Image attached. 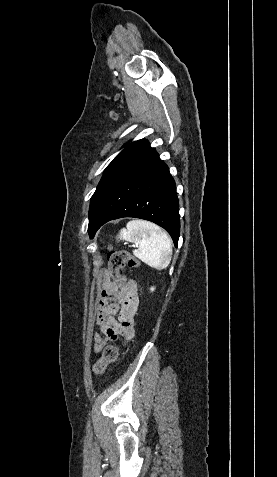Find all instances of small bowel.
<instances>
[{
    "instance_id": "c3829d8e",
    "label": "small bowel",
    "mask_w": 277,
    "mask_h": 477,
    "mask_svg": "<svg viewBox=\"0 0 277 477\" xmlns=\"http://www.w3.org/2000/svg\"><path fill=\"white\" fill-rule=\"evenodd\" d=\"M139 296L135 281H115L107 271L102 274V289L97 300V326L102 335L93 333L92 350L99 353L119 335L127 341L134 336V317Z\"/></svg>"
}]
</instances>
